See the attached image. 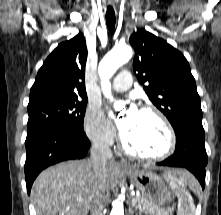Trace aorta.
I'll return each instance as SVG.
<instances>
[{
    "label": "aorta",
    "mask_w": 221,
    "mask_h": 215,
    "mask_svg": "<svg viewBox=\"0 0 221 215\" xmlns=\"http://www.w3.org/2000/svg\"><path fill=\"white\" fill-rule=\"evenodd\" d=\"M132 55L133 50L130 46L118 45L107 53L99 63L98 73L101 79L102 91L105 97L109 98L111 101L113 100V97L111 95V84L109 79L120 66L131 59ZM121 105V102H116L117 108H119ZM110 215H124V205L121 200V196L113 201Z\"/></svg>",
    "instance_id": "aorta-1"
}]
</instances>
